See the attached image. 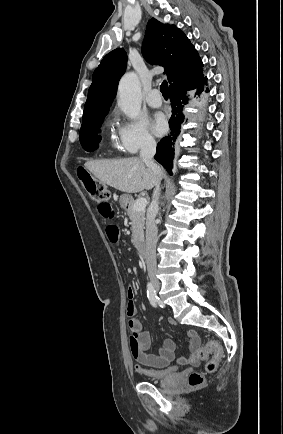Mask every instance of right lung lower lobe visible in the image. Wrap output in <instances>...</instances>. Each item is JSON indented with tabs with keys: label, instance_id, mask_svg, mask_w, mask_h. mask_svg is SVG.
Returning <instances> with one entry per match:
<instances>
[{
	"label": "right lung lower lobe",
	"instance_id": "1",
	"mask_svg": "<svg viewBox=\"0 0 283 434\" xmlns=\"http://www.w3.org/2000/svg\"><path fill=\"white\" fill-rule=\"evenodd\" d=\"M204 84L207 85V77H202L200 81L191 86H174L170 88V100L173 112L169 120L171 132L169 136L162 138L158 143L154 157L170 175H172L175 141L180 133V125L184 121L183 107L188 101L185 94L187 91L193 89H197V95L201 94L204 91ZM206 92H208V89Z\"/></svg>",
	"mask_w": 283,
	"mask_h": 434
}]
</instances>
